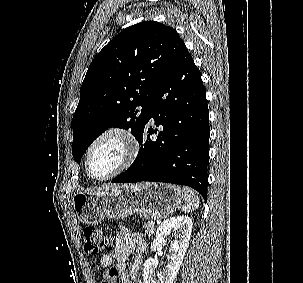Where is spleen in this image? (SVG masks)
<instances>
[{"label":"spleen","mask_w":303,"mask_h":283,"mask_svg":"<svg viewBox=\"0 0 303 283\" xmlns=\"http://www.w3.org/2000/svg\"><path fill=\"white\" fill-rule=\"evenodd\" d=\"M183 193V199H184V205L182 206V211L185 213L193 212L195 211L200 204V200L198 195L194 192V190L188 188V187H183L182 190Z\"/></svg>","instance_id":"1"}]
</instances>
